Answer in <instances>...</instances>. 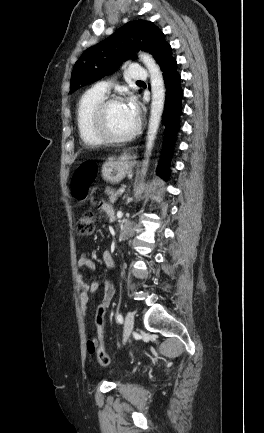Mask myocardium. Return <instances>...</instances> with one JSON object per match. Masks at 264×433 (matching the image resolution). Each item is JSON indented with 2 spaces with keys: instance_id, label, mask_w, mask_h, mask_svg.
Here are the masks:
<instances>
[{
  "instance_id": "f54148a6",
  "label": "myocardium",
  "mask_w": 264,
  "mask_h": 433,
  "mask_svg": "<svg viewBox=\"0 0 264 433\" xmlns=\"http://www.w3.org/2000/svg\"><path fill=\"white\" fill-rule=\"evenodd\" d=\"M118 103H123V99L119 97L106 98L99 103L93 111L91 117V128L102 142L124 143L133 139L140 131L141 122L139 119H137L134 128L125 135L116 136L109 132L106 124L107 110L110 106Z\"/></svg>"
}]
</instances>
